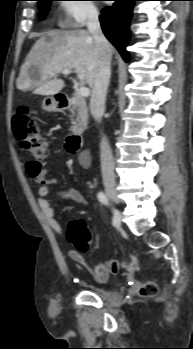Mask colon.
<instances>
[{"mask_svg":"<svg viewBox=\"0 0 193 349\" xmlns=\"http://www.w3.org/2000/svg\"><path fill=\"white\" fill-rule=\"evenodd\" d=\"M13 131L20 146L40 163L50 152L49 142L41 135L40 127L34 117L25 108L20 109L13 117ZM70 240L82 251L88 248L89 232L82 221L71 223ZM158 292L157 285L150 282L141 289V294L152 297Z\"/></svg>","mask_w":193,"mask_h":349,"instance_id":"obj_1","label":"colon"}]
</instances>
